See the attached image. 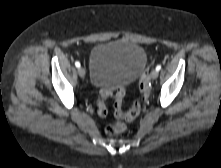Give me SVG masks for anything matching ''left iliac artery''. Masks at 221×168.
I'll return each instance as SVG.
<instances>
[{
  "label": "left iliac artery",
  "instance_id": "left-iliac-artery-1",
  "mask_svg": "<svg viewBox=\"0 0 221 168\" xmlns=\"http://www.w3.org/2000/svg\"><path fill=\"white\" fill-rule=\"evenodd\" d=\"M161 67H162L161 65H157L156 70L159 71L161 69Z\"/></svg>",
  "mask_w": 221,
  "mask_h": 168
}]
</instances>
